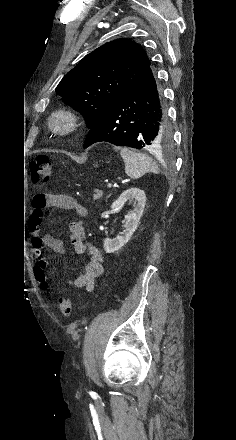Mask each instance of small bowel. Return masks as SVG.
I'll use <instances>...</instances> for the list:
<instances>
[{"label":"small bowel","instance_id":"1","mask_svg":"<svg viewBox=\"0 0 236 440\" xmlns=\"http://www.w3.org/2000/svg\"><path fill=\"white\" fill-rule=\"evenodd\" d=\"M31 205L34 209V217L36 220L46 218L44 212L46 208L70 210L79 218L73 221L69 226L70 239L74 250L79 254H86L88 261L82 273L67 283L73 288H84L87 292H92L95 280L100 277L104 271V257L93 243L86 240L82 219L88 216V208L74 197L63 194L38 193L33 196ZM36 226L37 224L34 226V229L31 230L33 235L32 246L37 257V262L34 266V276L37 283L42 287L47 284L45 270L48 266V261L41 252L44 248H49L55 253L63 254L64 243L62 240L48 233H41Z\"/></svg>","mask_w":236,"mask_h":440}]
</instances>
